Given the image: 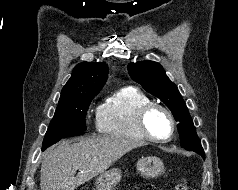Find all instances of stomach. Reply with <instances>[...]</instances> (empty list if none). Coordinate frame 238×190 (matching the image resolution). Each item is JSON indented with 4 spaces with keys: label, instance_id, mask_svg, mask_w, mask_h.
Here are the masks:
<instances>
[{
    "label": "stomach",
    "instance_id": "obj_1",
    "mask_svg": "<svg viewBox=\"0 0 238 190\" xmlns=\"http://www.w3.org/2000/svg\"><path fill=\"white\" fill-rule=\"evenodd\" d=\"M137 170L147 178H157L164 171L162 160L155 156L140 159L137 162ZM122 173L118 168L106 171L97 177L95 186L97 190H111L121 180Z\"/></svg>",
    "mask_w": 238,
    "mask_h": 190
}]
</instances>
